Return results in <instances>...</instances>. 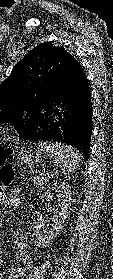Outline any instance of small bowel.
Instances as JSON below:
<instances>
[{
	"instance_id": "c3829d8e",
	"label": "small bowel",
	"mask_w": 113,
	"mask_h": 279,
	"mask_svg": "<svg viewBox=\"0 0 113 279\" xmlns=\"http://www.w3.org/2000/svg\"><path fill=\"white\" fill-rule=\"evenodd\" d=\"M19 199L15 196L8 195L0 190V205L18 206ZM14 247L16 249L18 259L23 262L25 267H12L2 273L1 278L4 279H23L28 268H32L33 262L28 252V236L21 230H16L13 239ZM1 270V262H0ZM2 278V279H3Z\"/></svg>"
}]
</instances>
